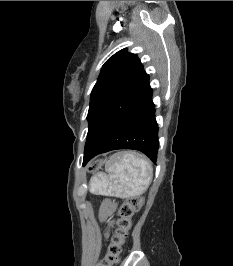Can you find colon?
<instances>
[{
    "label": "colon",
    "mask_w": 233,
    "mask_h": 266,
    "mask_svg": "<svg viewBox=\"0 0 233 266\" xmlns=\"http://www.w3.org/2000/svg\"><path fill=\"white\" fill-rule=\"evenodd\" d=\"M142 196L127 197L118 210L116 229L108 245L107 252L97 266H114L118 262L122 246L132 224V216L143 204Z\"/></svg>",
    "instance_id": "colon-1"
}]
</instances>
